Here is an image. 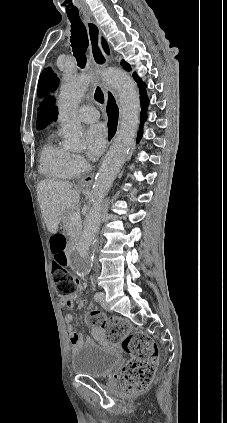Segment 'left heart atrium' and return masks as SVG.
Returning a JSON list of instances; mask_svg holds the SVG:
<instances>
[{
    "label": "left heart atrium",
    "mask_w": 227,
    "mask_h": 423,
    "mask_svg": "<svg viewBox=\"0 0 227 423\" xmlns=\"http://www.w3.org/2000/svg\"><path fill=\"white\" fill-rule=\"evenodd\" d=\"M88 155L91 159L98 158L106 149L108 143V131L102 125H97L87 132Z\"/></svg>",
    "instance_id": "39dd6f15"
}]
</instances>
